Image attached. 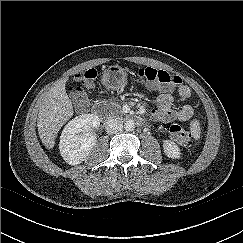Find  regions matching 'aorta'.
Returning <instances> with one entry per match:
<instances>
[{
    "label": "aorta",
    "mask_w": 243,
    "mask_h": 243,
    "mask_svg": "<svg viewBox=\"0 0 243 243\" xmlns=\"http://www.w3.org/2000/svg\"><path fill=\"white\" fill-rule=\"evenodd\" d=\"M134 128H135V122H134V120L129 119V120L125 121V123H124V129L126 131H133Z\"/></svg>",
    "instance_id": "aorta-1"
}]
</instances>
